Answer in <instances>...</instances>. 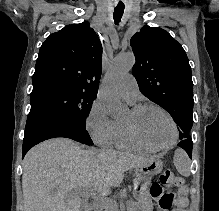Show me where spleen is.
Returning a JSON list of instances; mask_svg holds the SVG:
<instances>
[{
	"label": "spleen",
	"instance_id": "3e777b00",
	"mask_svg": "<svg viewBox=\"0 0 219 211\" xmlns=\"http://www.w3.org/2000/svg\"><path fill=\"white\" fill-rule=\"evenodd\" d=\"M173 163L181 175H190V159L184 149H175Z\"/></svg>",
	"mask_w": 219,
	"mask_h": 211
}]
</instances>
